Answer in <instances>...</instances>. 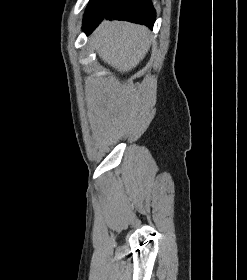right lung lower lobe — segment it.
Listing matches in <instances>:
<instances>
[{
  "label": "right lung lower lobe",
  "mask_w": 247,
  "mask_h": 280,
  "mask_svg": "<svg viewBox=\"0 0 247 280\" xmlns=\"http://www.w3.org/2000/svg\"><path fill=\"white\" fill-rule=\"evenodd\" d=\"M104 18L126 20L153 28L156 13L151 0H113L99 19L83 24V30L90 34Z\"/></svg>",
  "instance_id": "right-lung-lower-lobe-1"
}]
</instances>
